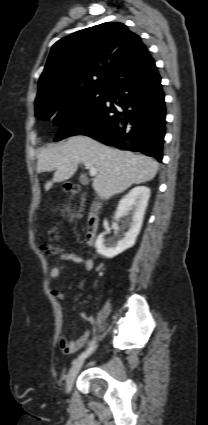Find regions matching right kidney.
<instances>
[{
    "label": "right kidney",
    "instance_id": "1",
    "mask_svg": "<svg viewBox=\"0 0 208 425\" xmlns=\"http://www.w3.org/2000/svg\"><path fill=\"white\" fill-rule=\"evenodd\" d=\"M149 197L150 189L145 186H138L120 200L115 219L118 221L122 217H127L130 228L125 237L119 240L116 245L105 246L104 234H100L95 242V247L99 254L107 258H113L135 244L143 223Z\"/></svg>",
    "mask_w": 208,
    "mask_h": 425
}]
</instances>
